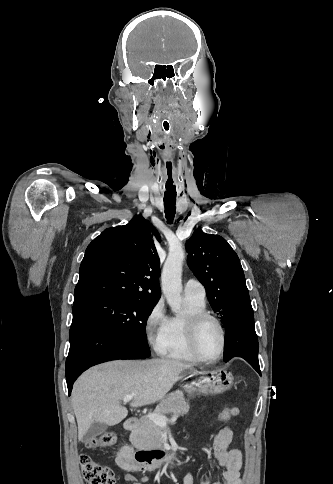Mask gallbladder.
<instances>
[{
	"mask_svg": "<svg viewBox=\"0 0 333 484\" xmlns=\"http://www.w3.org/2000/svg\"><path fill=\"white\" fill-rule=\"evenodd\" d=\"M107 429V425L101 422H94L88 431L83 436L82 441L87 443L92 439H95L97 436L103 434Z\"/></svg>",
	"mask_w": 333,
	"mask_h": 484,
	"instance_id": "gallbladder-1",
	"label": "gallbladder"
}]
</instances>
